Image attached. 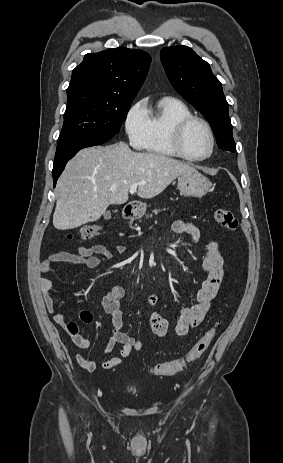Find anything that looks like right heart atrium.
Segmentation results:
<instances>
[{
  "mask_svg": "<svg viewBox=\"0 0 283 463\" xmlns=\"http://www.w3.org/2000/svg\"><path fill=\"white\" fill-rule=\"evenodd\" d=\"M124 128L130 145L136 149L143 148L148 132L147 110L143 100L130 107L125 116Z\"/></svg>",
  "mask_w": 283,
  "mask_h": 463,
  "instance_id": "obj_1",
  "label": "right heart atrium"
}]
</instances>
